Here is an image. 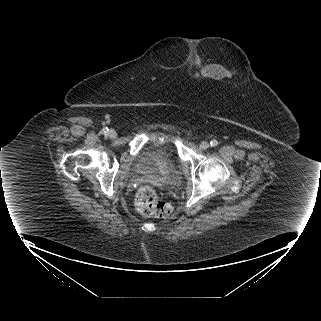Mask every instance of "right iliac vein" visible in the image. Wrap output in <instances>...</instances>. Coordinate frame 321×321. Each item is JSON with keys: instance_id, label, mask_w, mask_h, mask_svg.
I'll list each match as a JSON object with an SVG mask.
<instances>
[{"instance_id": "1", "label": "right iliac vein", "mask_w": 321, "mask_h": 321, "mask_svg": "<svg viewBox=\"0 0 321 321\" xmlns=\"http://www.w3.org/2000/svg\"><path fill=\"white\" fill-rule=\"evenodd\" d=\"M108 135H109L110 138H113V139L117 137V133L114 130H110L108 132Z\"/></svg>"}]
</instances>
